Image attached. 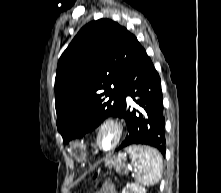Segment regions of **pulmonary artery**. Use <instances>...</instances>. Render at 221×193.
<instances>
[{"label":"pulmonary artery","instance_id":"e3ab8cb5","mask_svg":"<svg viewBox=\"0 0 221 193\" xmlns=\"http://www.w3.org/2000/svg\"><path fill=\"white\" fill-rule=\"evenodd\" d=\"M127 99L130 101L131 100V98L130 97H127Z\"/></svg>","mask_w":221,"mask_h":193}]
</instances>
